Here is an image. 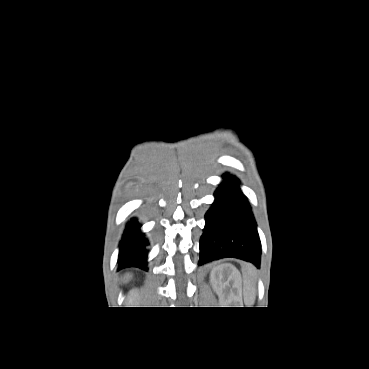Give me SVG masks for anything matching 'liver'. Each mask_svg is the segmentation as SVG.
I'll list each match as a JSON object with an SVG mask.
<instances>
[{"instance_id":"1","label":"liver","mask_w":369,"mask_h":369,"mask_svg":"<svg viewBox=\"0 0 369 369\" xmlns=\"http://www.w3.org/2000/svg\"><path fill=\"white\" fill-rule=\"evenodd\" d=\"M130 277H131V276L127 275V280H128V279H130ZM127 280H126V281H127Z\"/></svg>"}]
</instances>
